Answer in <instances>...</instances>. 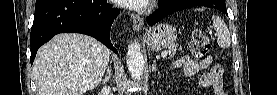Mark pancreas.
Wrapping results in <instances>:
<instances>
[{"instance_id": "cf45deb5", "label": "pancreas", "mask_w": 277, "mask_h": 95, "mask_svg": "<svg viewBox=\"0 0 277 95\" xmlns=\"http://www.w3.org/2000/svg\"><path fill=\"white\" fill-rule=\"evenodd\" d=\"M178 50L179 48L177 45L172 44L169 46V58H174Z\"/></svg>"}]
</instances>
